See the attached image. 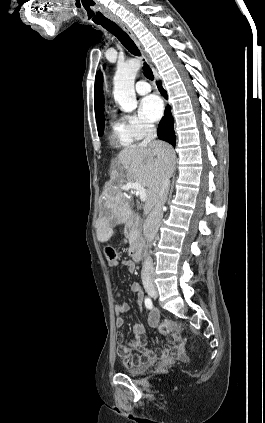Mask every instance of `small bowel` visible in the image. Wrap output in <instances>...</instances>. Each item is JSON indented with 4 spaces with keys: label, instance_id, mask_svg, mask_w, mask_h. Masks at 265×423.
Returning <instances> with one entry per match:
<instances>
[{
    "label": "small bowel",
    "instance_id": "small-bowel-1",
    "mask_svg": "<svg viewBox=\"0 0 265 423\" xmlns=\"http://www.w3.org/2000/svg\"><path fill=\"white\" fill-rule=\"evenodd\" d=\"M125 265L129 272H134L135 263L131 260L116 259L109 261L108 266L110 269L117 268ZM131 290L137 294V304L142 305L143 294L139 283L134 282L131 284ZM120 292L115 290L114 298L117 299ZM129 311V304L126 302H119L115 305V326L121 328L124 325V315ZM159 322V312L153 308L149 312L147 324L150 327H155ZM133 338L129 344H124V337L122 334H117L116 339L118 342V355L123 360L125 366H139L145 362L155 361L158 359L171 360L181 359L183 357L184 341L176 333L170 335L168 346L159 351H153L147 346L146 327L144 324L133 325ZM136 352V353H134Z\"/></svg>",
    "mask_w": 265,
    "mask_h": 423
}]
</instances>
